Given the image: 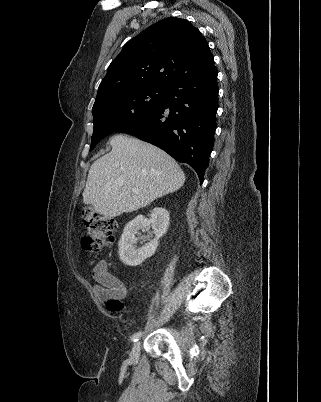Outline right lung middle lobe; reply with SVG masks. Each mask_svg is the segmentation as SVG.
Wrapping results in <instances>:
<instances>
[{
    "mask_svg": "<svg viewBox=\"0 0 321 402\" xmlns=\"http://www.w3.org/2000/svg\"><path fill=\"white\" fill-rule=\"evenodd\" d=\"M164 96L165 88L149 87L116 94L94 104L90 150L108 134L158 109Z\"/></svg>",
    "mask_w": 321,
    "mask_h": 402,
    "instance_id": "right-lung-middle-lobe-1",
    "label": "right lung middle lobe"
}]
</instances>
